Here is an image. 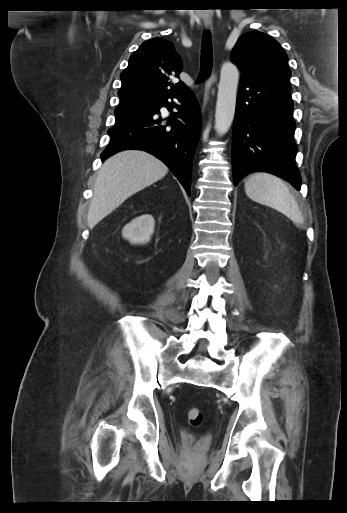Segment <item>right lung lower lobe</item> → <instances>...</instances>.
Returning a JSON list of instances; mask_svg holds the SVG:
<instances>
[{
	"label": "right lung lower lobe",
	"mask_w": 347,
	"mask_h": 513,
	"mask_svg": "<svg viewBox=\"0 0 347 513\" xmlns=\"http://www.w3.org/2000/svg\"><path fill=\"white\" fill-rule=\"evenodd\" d=\"M180 105L167 99L150 106L115 115V125L108 130L111 142L101 154L104 161L109 156L125 150L147 151L162 160L174 173L190 195L192 161L200 138L201 114L190 90L173 96ZM174 107L172 119L159 116V109Z\"/></svg>",
	"instance_id": "obj_1"
}]
</instances>
